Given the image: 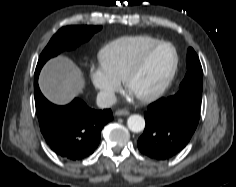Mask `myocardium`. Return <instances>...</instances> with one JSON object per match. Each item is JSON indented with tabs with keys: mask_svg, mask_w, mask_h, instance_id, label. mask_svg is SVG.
I'll return each mask as SVG.
<instances>
[{
	"mask_svg": "<svg viewBox=\"0 0 236 187\" xmlns=\"http://www.w3.org/2000/svg\"><path fill=\"white\" fill-rule=\"evenodd\" d=\"M161 46H169L174 53V61L172 64V67L164 80V82L153 92L143 95H137L135 96L140 102H152L160 98L171 86L175 75L177 73L178 65H179V55L177 52V49L175 46L168 42V41H158L155 44L148 47L137 59L135 64L132 66V68L129 70L128 74L126 75L124 79L125 87L128 91H130L131 84L133 80L137 77V75L141 72L143 69L145 63L147 62L150 55L159 47Z\"/></svg>",
	"mask_w": 236,
	"mask_h": 187,
	"instance_id": "1",
	"label": "myocardium"
}]
</instances>
